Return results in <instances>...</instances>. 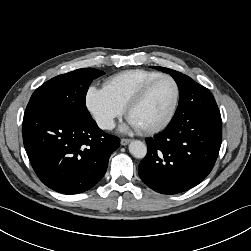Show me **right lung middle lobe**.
Listing matches in <instances>:
<instances>
[{"label":"right lung middle lobe","instance_id":"right-lung-middle-lobe-1","mask_svg":"<svg viewBox=\"0 0 251 251\" xmlns=\"http://www.w3.org/2000/svg\"><path fill=\"white\" fill-rule=\"evenodd\" d=\"M103 74L100 70L82 68L56 76L34 91L27 106L46 107L76 120L90 119L85 104L86 93L92 80Z\"/></svg>","mask_w":251,"mask_h":251}]
</instances>
